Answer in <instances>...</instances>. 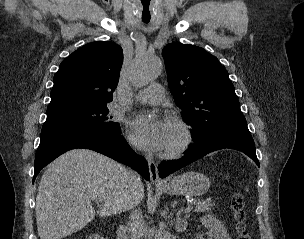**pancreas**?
Masks as SVG:
<instances>
[{
	"instance_id": "cf45deb5",
	"label": "pancreas",
	"mask_w": 304,
	"mask_h": 239,
	"mask_svg": "<svg viewBox=\"0 0 304 239\" xmlns=\"http://www.w3.org/2000/svg\"><path fill=\"white\" fill-rule=\"evenodd\" d=\"M214 203H211V200L205 201H196L194 212H209L213 209Z\"/></svg>"
}]
</instances>
